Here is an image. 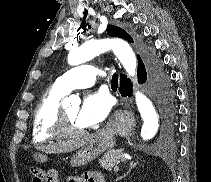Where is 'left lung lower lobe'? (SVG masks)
<instances>
[{
    "label": "left lung lower lobe",
    "mask_w": 211,
    "mask_h": 182,
    "mask_svg": "<svg viewBox=\"0 0 211 182\" xmlns=\"http://www.w3.org/2000/svg\"><path fill=\"white\" fill-rule=\"evenodd\" d=\"M138 58L137 76L139 83L143 84L147 81L148 89L153 93L162 109H169V101L172 98V91L169 88L168 76L163 72L161 62L152 55L145 57L146 70L140 56ZM120 94L123 97L132 96V83L124 74L120 76Z\"/></svg>",
    "instance_id": "0a47b994"
}]
</instances>
